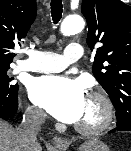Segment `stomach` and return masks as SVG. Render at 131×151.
I'll list each match as a JSON object with an SVG mask.
<instances>
[{"label": "stomach", "mask_w": 131, "mask_h": 151, "mask_svg": "<svg viewBox=\"0 0 131 151\" xmlns=\"http://www.w3.org/2000/svg\"><path fill=\"white\" fill-rule=\"evenodd\" d=\"M79 151H110L108 146L99 139L93 138L84 142Z\"/></svg>", "instance_id": "obj_1"}]
</instances>
